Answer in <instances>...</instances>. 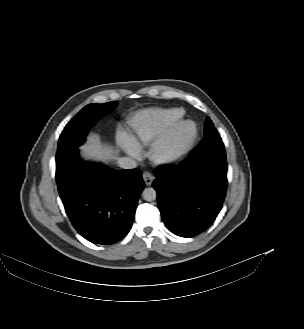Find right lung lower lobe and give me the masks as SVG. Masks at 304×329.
<instances>
[{"instance_id":"right-lung-lower-lobe-1","label":"right lung lower lobe","mask_w":304,"mask_h":329,"mask_svg":"<svg viewBox=\"0 0 304 329\" xmlns=\"http://www.w3.org/2000/svg\"><path fill=\"white\" fill-rule=\"evenodd\" d=\"M56 181L66 213L85 239L109 245L129 232L144 188L139 169L84 162L76 149L56 159Z\"/></svg>"}]
</instances>
